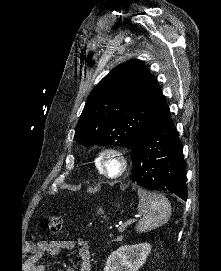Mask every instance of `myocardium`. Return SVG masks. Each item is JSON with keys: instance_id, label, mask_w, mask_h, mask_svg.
Returning a JSON list of instances; mask_svg holds the SVG:
<instances>
[{"instance_id": "1", "label": "myocardium", "mask_w": 221, "mask_h": 271, "mask_svg": "<svg viewBox=\"0 0 221 271\" xmlns=\"http://www.w3.org/2000/svg\"><path fill=\"white\" fill-rule=\"evenodd\" d=\"M104 156H98V159L101 165H97L100 172L98 175H103L104 178H120L128 170L126 165H123L125 162L124 156H121L122 150H102ZM114 170V171H108Z\"/></svg>"}]
</instances>
